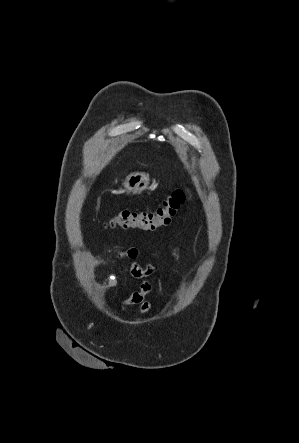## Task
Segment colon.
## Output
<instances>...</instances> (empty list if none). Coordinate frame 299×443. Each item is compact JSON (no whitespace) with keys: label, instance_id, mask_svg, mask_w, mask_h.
Instances as JSON below:
<instances>
[{"label":"colon","instance_id":"5ec220e1","mask_svg":"<svg viewBox=\"0 0 299 443\" xmlns=\"http://www.w3.org/2000/svg\"><path fill=\"white\" fill-rule=\"evenodd\" d=\"M188 198L189 193L184 189H174L164 198L157 209L153 211L122 210L108 221V226L154 231L169 225L178 209Z\"/></svg>","mask_w":299,"mask_h":443}]
</instances>
